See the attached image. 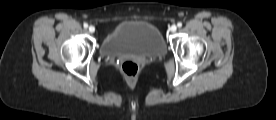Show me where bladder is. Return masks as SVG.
Instances as JSON below:
<instances>
[{
    "label": "bladder",
    "mask_w": 276,
    "mask_h": 120,
    "mask_svg": "<svg viewBox=\"0 0 276 120\" xmlns=\"http://www.w3.org/2000/svg\"><path fill=\"white\" fill-rule=\"evenodd\" d=\"M100 51L105 57L127 54L161 57L166 53V43L155 25L142 20L126 19L107 32Z\"/></svg>",
    "instance_id": "31cf9c89"
}]
</instances>
